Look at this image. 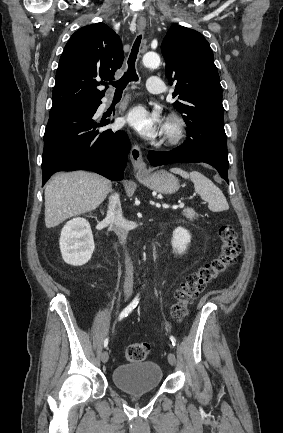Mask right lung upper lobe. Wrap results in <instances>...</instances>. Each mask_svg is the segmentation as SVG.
Masks as SVG:
<instances>
[{
  "instance_id": "1",
  "label": "right lung upper lobe",
  "mask_w": 283,
  "mask_h": 433,
  "mask_svg": "<svg viewBox=\"0 0 283 433\" xmlns=\"http://www.w3.org/2000/svg\"><path fill=\"white\" fill-rule=\"evenodd\" d=\"M123 59L122 42L109 26L96 23L80 28L61 55L50 113L100 101L105 90L97 89L103 82L98 80H113Z\"/></svg>"
}]
</instances>
